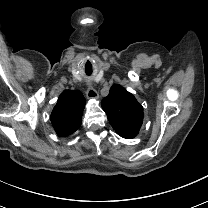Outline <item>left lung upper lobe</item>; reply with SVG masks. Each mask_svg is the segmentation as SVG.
Wrapping results in <instances>:
<instances>
[{"label":"left lung upper lobe","mask_w":208,"mask_h":208,"mask_svg":"<svg viewBox=\"0 0 208 208\" xmlns=\"http://www.w3.org/2000/svg\"><path fill=\"white\" fill-rule=\"evenodd\" d=\"M101 106L117 133L137 135L143 123V107L121 85H113Z\"/></svg>","instance_id":"left-lung-upper-lobe-1"}]
</instances>
